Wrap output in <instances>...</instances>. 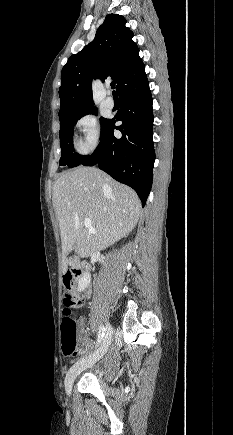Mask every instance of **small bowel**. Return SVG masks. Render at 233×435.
<instances>
[{"instance_id": "small-bowel-1", "label": "small bowel", "mask_w": 233, "mask_h": 435, "mask_svg": "<svg viewBox=\"0 0 233 435\" xmlns=\"http://www.w3.org/2000/svg\"><path fill=\"white\" fill-rule=\"evenodd\" d=\"M69 293L75 297V293L73 291ZM78 324H79L78 344L80 347L85 348V350H88L91 346V341L88 337V331L85 327L83 319H80Z\"/></svg>"}]
</instances>
